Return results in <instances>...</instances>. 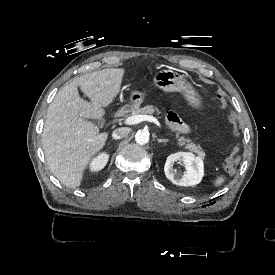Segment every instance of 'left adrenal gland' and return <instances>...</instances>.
<instances>
[{
    "label": "left adrenal gland",
    "mask_w": 275,
    "mask_h": 275,
    "mask_svg": "<svg viewBox=\"0 0 275 275\" xmlns=\"http://www.w3.org/2000/svg\"><path fill=\"white\" fill-rule=\"evenodd\" d=\"M154 138H157V136L155 134L152 135ZM157 141L160 142H168V139H159L157 138Z\"/></svg>",
    "instance_id": "left-adrenal-gland-1"
}]
</instances>
